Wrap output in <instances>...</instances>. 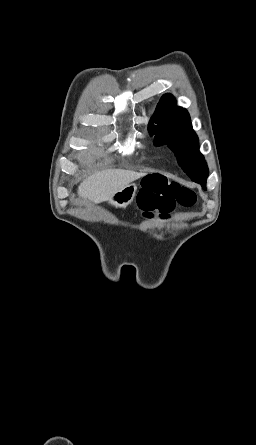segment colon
I'll return each mask as SVG.
<instances>
[{
	"instance_id": "5ec220e1",
	"label": "colon",
	"mask_w": 256,
	"mask_h": 445,
	"mask_svg": "<svg viewBox=\"0 0 256 445\" xmlns=\"http://www.w3.org/2000/svg\"><path fill=\"white\" fill-rule=\"evenodd\" d=\"M137 199L145 218L155 214L166 218L177 206L190 207L196 203L192 189L161 176L147 177Z\"/></svg>"
}]
</instances>
